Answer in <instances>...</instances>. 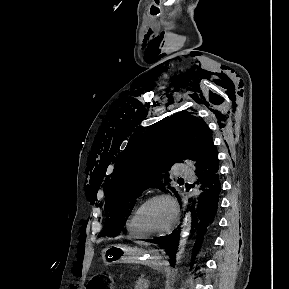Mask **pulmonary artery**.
Returning <instances> with one entry per match:
<instances>
[{
    "label": "pulmonary artery",
    "instance_id": "obj_1",
    "mask_svg": "<svg viewBox=\"0 0 289 289\" xmlns=\"http://www.w3.org/2000/svg\"><path fill=\"white\" fill-rule=\"evenodd\" d=\"M176 171L179 177L186 178V179L193 177V173L190 170L189 165L186 163H183V162L178 163L176 166Z\"/></svg>",
    "mask_w": 289,
    "mask_h": 289
}]
</instances>
